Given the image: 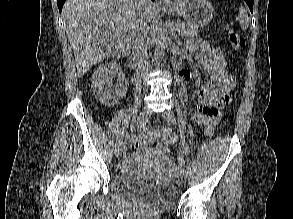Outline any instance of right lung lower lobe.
<instances>
[{"instance_id": "right-lung-lower-lobe-1", "label": "right lung lower lobe", "mask_w": 293, "mask_h": 219, "mask_svg": "<svg viewBox=\"0 0 293 219\" xmlns=\"http://www.w3.org/2000/svg\"><path fill=\"white\" fill-rule=\"evenodd\" d=\"M154 1V0H152ZM65 0H57V4H58V8H59V11L61 12L62 11V6L64 4Z\"/></svg>"}]
</instances>
